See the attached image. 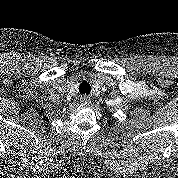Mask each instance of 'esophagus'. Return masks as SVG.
I'll return each mask as SVG.
<instances>
[{
    "mask_svg": "<svg viewBox=\"0 0 178 178\" xmlns=\"http://www.w3.org/2000/svg\"><path fill=\"white\" fill-rule=\"evenodd\" d=\"M80 103L83 105H89L91 103V100L87 95H83L80 98Z\"/></svg>",
    "mask_w": 178,
    "mask_h": 178,
    "instance_id": "34e87169",
    "label": "esophagus"
}]
</instances>
